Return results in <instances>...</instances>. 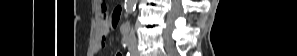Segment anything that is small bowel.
I'll return each instance as SVG.
<instances>
[{
  "instance_id": "c3829d8e",
  "label": "small bowel",
  "mask_w": 297,
  "mask_h": 56,
  "mask_svg": "<svg viewBox=\"0 0 297 56\" xmlns=\"http://www.w3.org/2000/svg\"><path fill=\"white\" fill-rule=\"evenodd\" d=\"M99 6H100L102 15H101V21L99 25L100 33L95 45L96 52L105 46L106 37L109 31L117 25L121 14L120 8H117L114 10V12L111 15H108L107 7L104 2H100ZM116 55L122 56L121 53H117Z\"/></svg>"
}]
</instances>
